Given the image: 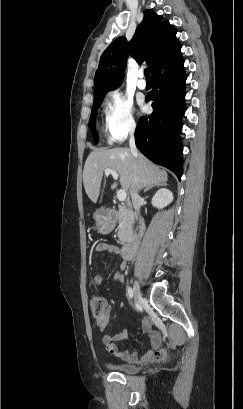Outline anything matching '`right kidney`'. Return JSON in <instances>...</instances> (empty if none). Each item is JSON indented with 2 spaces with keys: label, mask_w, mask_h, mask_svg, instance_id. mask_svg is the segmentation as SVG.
<instances>
[{
  "label": "right kidney",
  "mask_w": 243,
  "mask_h": 409,
  "mask_svg": "<svg viewBox=\"0 0 243 409\" xmlns=\"http://www.w3.org/2000/svg\"><path fill=\"white\" fill-rule=\"evenodd\" d=\"M173 194L169 189H159L152 198V205L158 209H162L173 201Z\"/></svg>",
  "instance_id": "obj_1"
}]
</instances>
